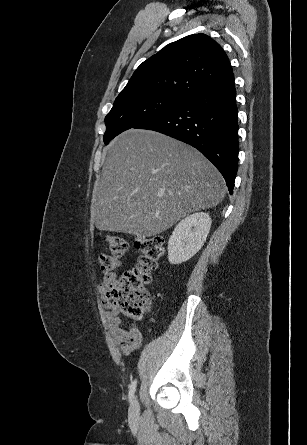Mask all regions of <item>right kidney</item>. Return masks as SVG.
I'll use <instances>...</instances> for the list:
<instances>
[{
    "label": "right kidney",
    "instance_id": "obj_1",
    "mask_svg": "<svg viewBox=\"0 0 307 445\" xmlns=\"http://www.w3.org/2000/svg\"><path fill=\"white\" fill-rule=\"evenodd\" d=\"M208 212L189 214L176 225L168 243V261L180 265L189 261L203 247L211 229Z\"/></svg>",
    "mask_w": 307,
    "mask_h": 445
}]
</instances>
